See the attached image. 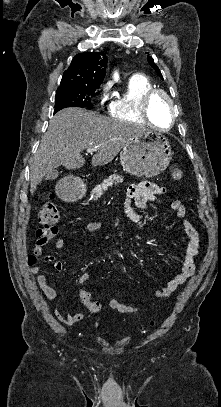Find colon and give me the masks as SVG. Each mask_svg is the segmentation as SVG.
I'll return each mask as SVG.
<instances>
[{"label":"colon","instance_id":"5ec220e1","mask_svg":"<svg viewBox=\"0 0 221 407\" xmlns=\"http://www.w3.org/2000/svg\"><path fill=\"white\" fill-rule=\"evenodd\" d=\"M169 172L173 180L181 181L183 179V170L175 164L170 165ZM38 220L42 228L37 231L39 238H51L58 231L60 222V212L57 205L52 201L43 203L39 214ZM82 303L86 305L92 313H96L100 309L98 301L92 299L87 292L83 293Z\"/></svg>","mask_w":221,"mask_h":407}]
</instances>
